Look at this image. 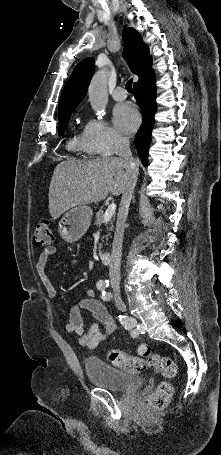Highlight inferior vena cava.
Instances as JSON below:
<instances>
[{
  "mask_svg": "<svg viewBox=\"0 0 221 455\" xmlns=\"http://www.w3.org/2000/svg\"><path fill=\"white\" fill-rule=\"evenodd\" d=\"M118 156L126 161L127 184L118 210L116 229L111 251V262L109 265V279L112 287L118 288L120 284L121 250L124 236V224L128 214V209L132 199V194L137 182L138 166L130 151L129 139L127 137H117Z\"/></svg>",
  "mask_w": 221,
  "mask_h": 455,
  "instance_id": "1",
  "label": "inferior vena cava"
}]
</instances>
